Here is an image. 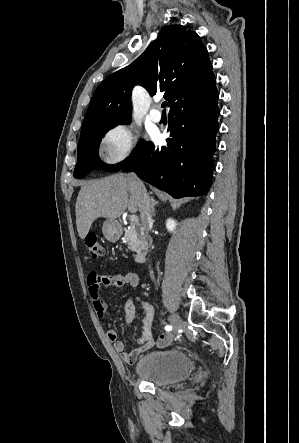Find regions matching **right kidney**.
Segmentation results:
<instances>
[{
  "label": "right kidney",
  "mask_w": 299,
  "mask_h": 443,
  "mask_svg": "<svg viewBox=\"0 0 299 443\" xmlns=\"http://www.w3.org/2000/svg\"><path fill=\"white\" fill-rule=\"evenodd\" d=\"M177 223L172 218L167 219L166 228L170 233H174L176 229Z\"/></svg>",
  "instance_id": "right-kidney-1"
}]
</instances>
